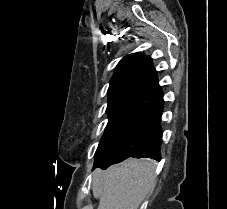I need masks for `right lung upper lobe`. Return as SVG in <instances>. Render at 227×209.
Returning a JSON list of instances; mask_svg holds the SVG:
<instances>
[{"label": "right lung upper lobe", "instance_id": "right-lung-upper-lobe-1", "mask_svg": "<svg viewBox=\"0 0 227 209\" xmlns=\"http://www.w3.org/2000/svg\"><path fill=\"white\" fill-rule=\"evenodd\" d=\"M121 100H131L153 109L163 101L157 74L149 56L133 53L118 63L108 89L107 110Z\"/></svg>", "mask_w": 227, "mask_h": 209}]
</instances>
